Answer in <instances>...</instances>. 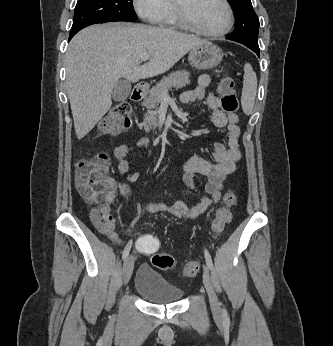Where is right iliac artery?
Here are the masks:
<instances>
[{"instance_id": "obj_1", "label": "right iliac artery", "mask_w": 333, "mask_h": 346, "mask_svg": "<svg viewBox=\"0 0 333 346\" xmlns=\"http://www.w3.org/2000/svg\"><path fill=\"white\" fill-rule=\"evenodd\" d=\"M131 247H132V240H130L128 244L126 245V247L124 248L123 255H122L123 260L126 259V257L129 255Z\"/></svg>"}]
</instances>
